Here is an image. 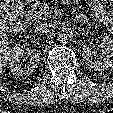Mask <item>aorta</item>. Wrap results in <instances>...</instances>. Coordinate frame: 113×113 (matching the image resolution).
<instances>
[{
  "instance_id": "aorta-1",
  "label": "aorta",
  "mask_w": 113,
  "mask_h": 113,
  "mask_svg": "<svg viewBox=\"0 0 113 113\" xmlns=\"http://www.w3.org/2000/svg\"><path fill=\"white\" fill-rule=\"evenodd\" d=\"M73 38V31L69 27H61L57 32V39L62 43H67Z\"/></svg>"
}]
</instances>
